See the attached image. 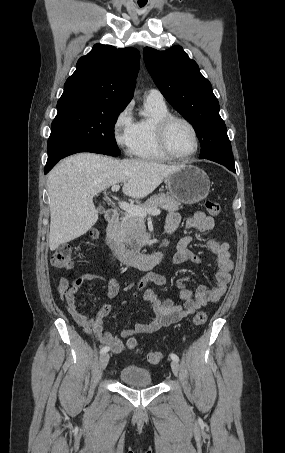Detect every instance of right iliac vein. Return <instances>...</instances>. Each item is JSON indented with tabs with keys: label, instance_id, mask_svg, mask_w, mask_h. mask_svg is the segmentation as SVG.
Returning a JSON list of instances; mask_svg holds the SVG:
<instances>
[{
	"label": "right iliac vein",
	"instance_id": "obj_1",
	"mask_svg": "<svg viewBox=\"0 0 285 453\" xmlns=\"http://www.w3.org/2000/svg\"><path fill=\"white\" fill-rule=\"evenodd\" d=\"M109 362V354L103 353L99 359V366L101 370H104Z\"/></svg>",
	"mask_w": 285,
	"mask_h": 453
}]
</instances>
